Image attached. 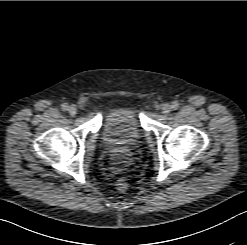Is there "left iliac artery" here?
<instances>
[{"label":"left iliac artery","instance_id":"1","mask_svg":"<svg viewBox=\"0 0 247 245\" xmlns=\"http://www.w3.org/2000/svg\"><path fill=\"white\" fill-rule=\"evenodd\" d=\"M179 108V102L178 101H174L173 103H172V109L173 110H177Z\"/></svg>","mask_w":247,"mask_h":245}]
</instances>
